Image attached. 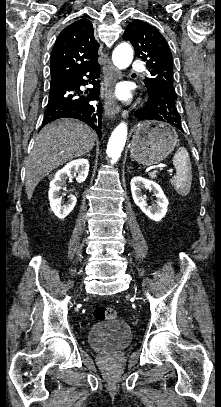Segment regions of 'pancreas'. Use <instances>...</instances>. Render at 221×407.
<instances>
[{"instance_id":"1","label":"pancreas","mask_w":221,"mask_h":407,"mask_svg":"<svg viewBox=\"0 0 221 407\" xmlns=\"http://www.w3.org/2000/svg\"><path fill=\"white\" fill-rule=\"evenodd\" d=\"M150 176H151L152 178L156 177V175H155V174H150Z\"/></svg>"}]
</instances>
